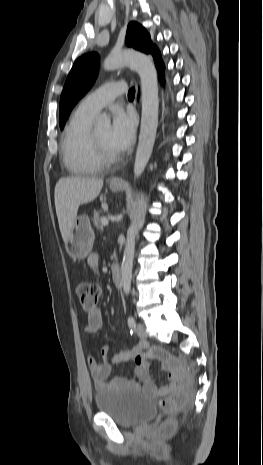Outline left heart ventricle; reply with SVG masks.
Masks as SVG:
<instances>
[{
    "label": "left heart ventricle",
    "mask_w": 263,
    "mask_h": 465,
    "mask_svg": "<svg viewBox=\"0 0 263 465\" xmlns=\"http://www.w3.org/2000/svg\"><path fill=\"white\" fill-rule=\"evenodd\" d=\"M109 133H110L109 127H104V128L94 131L95 136L97 137L99 142L104 146V148L111 153H116V151L110 145Z\"/></svg>",
    "instance_id": "obj_1"
}]
</instances>
